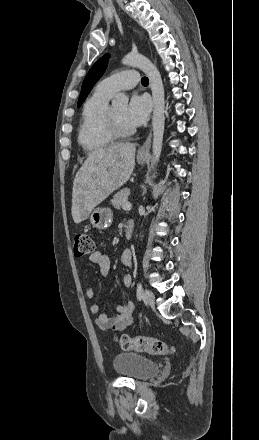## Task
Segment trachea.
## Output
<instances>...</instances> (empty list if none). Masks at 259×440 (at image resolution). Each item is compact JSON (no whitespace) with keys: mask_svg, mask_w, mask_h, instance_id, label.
Segmentation results:
<instances>
[{"mask_svg":"<svg viewBox=\"0 0 259 440\" xmlns=\"http://www.w3.org/2000/svg\"><path fill=\"white\" fill-rule=\"evenodd\" d=\"M143 85H147L148 84V78L147 77H143L141 80Z\"/></svg>","mask_w":259,"mask_h":440,"instance_id":"trachea-1","label":"trachea"}]
</instances>
